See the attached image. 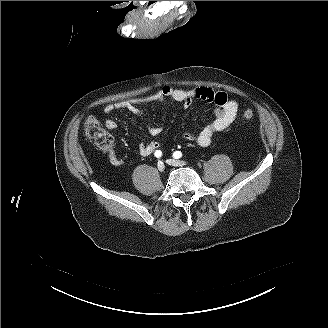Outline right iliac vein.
I'll list each match as a JSON object with an SVG mask.
<instances>
[{"mask_svg":"<svg viewBox=\"0 0 328 328\" xmlns=\"http://www.w3.org/2000/svg\"><path fill=\"white\" fill-rule=\"evenodd\" d=\"M158 170L160 172H163L165 170V165H164V163L162 161H159L158 162Z\"/></svg>","mask_w":328,"mask_h":328,"instance_id":"obj_1","label":"right iliac vein"}]
</instances>
